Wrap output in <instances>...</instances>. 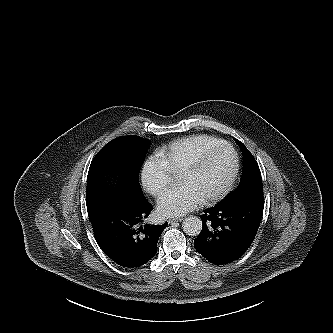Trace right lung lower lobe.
Wrapping results in <instances>:
<instances>
[{
  "instance_id": "1",
  "label": "right lung lower lobe",
  "mask_w": 333,
  "mask_h": 333,
  "mask_svg": "<svg viewBox=\"0 0 333 333\" xmlns=\"http://www.w3.org/2000/svg\"><path fill=\"white\" fill-rule=\"evenodd\" d=\"M146 199L107 197L87 209L95 240L104 253L124 268L146 264L157 252L163 225H142L152 211Z\"/></svg>"
}]
</instances>
